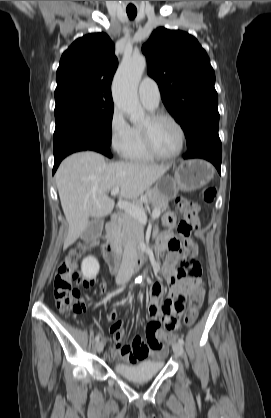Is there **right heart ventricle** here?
<instances>
[{"instance_id": "1", "label": "right heart ventricle", "mask_w": 271, "mask_h": 418, "mask_svg": "<svg viewBox=\"0 0 271 418\" xmlns=\"http://www.w3.org/2000/svg\"><path fill=\"white\" fill-rule=\"evenodd\" d=\"M123 156L132 161H152L155 159L146 149L140 126L131 127L130 142Z\"/></svg>"}]
</instances>
